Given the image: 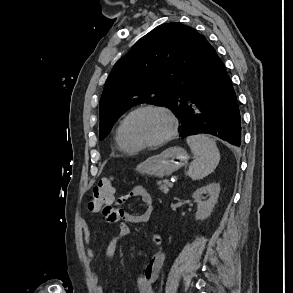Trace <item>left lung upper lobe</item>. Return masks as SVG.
I'll use <instances>...</instances> for the list:
<instances>
[{"mask_svg":"<svg viewBox=\"0 0 293 293\" xmlns=\"http://www.w3.org/2000/svg\"><path fill=\"white\" fill-rule=\"evenodd\" d=\"M212 50L203 35L177 22L162 24L142 37L106 80L99 139L138 104L165 106L179 115L182 99L204 78Z\"/></svg>","mask_w":293,"mask_h":293,"instance_id":"5c2ea615","label":"left lung upper lobe"}]
</instances>
